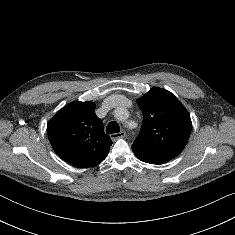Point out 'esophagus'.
Listing matches in <instances>:
<instances>
[{
	"label": "esophagus",
	"mask_w": 235,
	"mask_h": 235,
	"mask_svg": "<svg viewBox=\"0 0 235 235\" xmlns=\"http://www.w3.org/2000/svg\"><path fill=\"white\" fill-rule=\"evenodd\" d=\"M126 136V132L125 131H121V132H119V133H113L112 135H111V139L113 140V141H116L117 139H119V138H124Z\"/></svg>",
	"instance_id": "34e87169"
}]
</instances>
